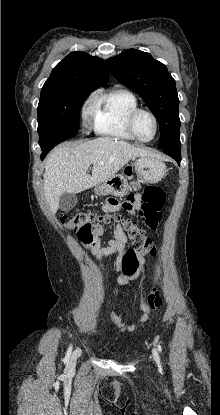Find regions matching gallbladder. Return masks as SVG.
I'll list each match as a JSON object with an SVG mask.
<instances>
[{"mask_svg":"<svg viewBox=\"0 0 220 415\" xmlns=\"http://www.w3.org/2000/svg\"><path fill=\"white\" fill-rule=\"evenodd\" d=\"M78 202L75 194L64 193L59 197V209L62 211H69L73 209Z\"/></svg>","mask_w":220,"mask_h":415,"instance_id":"gallbladder-1","label":"gallbladder"}]
</instances>
